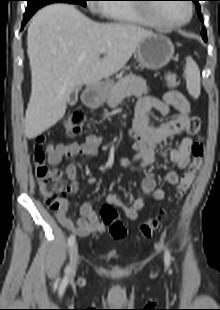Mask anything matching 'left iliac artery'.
<instances>
[{
  "instance_id": "obj_1",
  "label": "left iliac artery",
  "mask_w": 220,
  "mask_h": 310,
  "mask_svg": "<svg viewBox=\"0 0 220 310\" xmlns=\"http://www.w3.org/2000/svg\"><path fill=\"white\" fill-rule=\"evenodd\" d=\"M164 261H165L166 266L170 265L171 255L168 249H165Z\"/></svg>"
}]
</instances>
